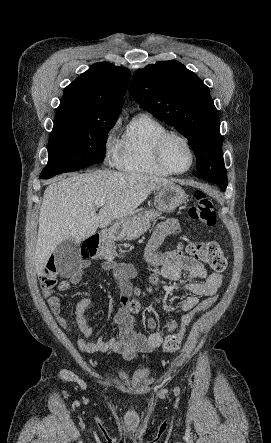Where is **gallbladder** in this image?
<instances>
[{
    "label": "gallbladder",
    "mask_w": 271,
    "mask_h": 443,
    "mask_svg": "<svg viewBox=\"0 0 271 443\" xmlns=\"http://www.w3.org/2000/svg\"><path fill=\"white\" fill-rule=\"evenodd\" d=\"M55 257L58 263L55 265V272L60 273L61 277H68L69 273H77L82 269L81 252L78 251V243L73 239H64L59 243Z\"/></svg>",
    "instance_id": "bac80fb5"
}]
</instances>
